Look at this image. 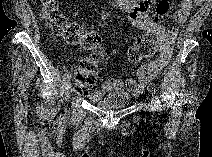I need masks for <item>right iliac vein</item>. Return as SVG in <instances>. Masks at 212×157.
<instances>
[{
    "mask_svg": "<svg viewBox=\"0 0 212 157\" xmlns=\"http://www.w3.org/2000/svg\"><path fill=\"white\" fill-rule=\"evenodd\" d=\"M64 88H65V94H66V97H68L69 93H70V90H71V83L69 80H67L65 83H64Z\"/></svg>",
    "mask_w": 212,
    "mask_h": 157,
    "instance_id": "right-iliac-vein-1",
    "label": "right iliac vein"
}]
</instances>
